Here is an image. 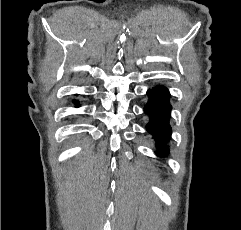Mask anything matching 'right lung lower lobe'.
Segmentation results:
<instances>
[{
    "mask_svg": "<svg viewBox=\"0 0 241 230\" xmlns=\"http://www.w3.org/2000/svg\"><path fill=\"white\" fill-rule=\"evenodd\" d=\"M76 96H77V94H76ZM73 103L75 104L76 107L80 106L78 100H73Z\"/></svg>",
    "mask_w": 241,
    "mask_h": 230,
    "instance_id": "98d812e1",
    "label": "right lung lower lobe"
}]
</instances>
